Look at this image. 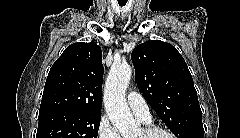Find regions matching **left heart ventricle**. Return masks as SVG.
Wrapping results in <instances>:
<instances>
[{"label": "left heart ventricle", "mask_w": 240, "mask_h": 138, "mask_svg": "<svg viewBox=\"0 0 240 138\" xmlns=\"http://www.w3.org/2000/svg\"><path fill=\"white\" fill-rule=\"evenodd\" d=\"M134 138H144L142 130H140ZM150 138H165V136L163 134L157 133Z\"/></svg>", "instance_id": "left-heart-ventricle-1"}]
</instances>
